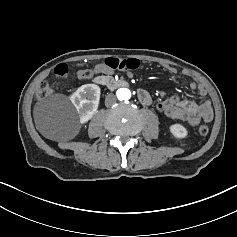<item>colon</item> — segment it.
Wrapping results in <instances>:
<instances>
[{
  "label": "colon",
  "instance_id": "5ec220e1",
  "mask_svg": "<svg viewBox=\"0 0 237 237\" xmlns=\"http://www.w3.org/2000/svg\"><path fill=\"white\" fill-rule=\"evenodd\" d=\"M104 63L113 70L122 72L134 71L140 67V61L135 58L118 59V58H107ZM56 75L58 77H68L71 75L70 69L62 65L57 68ZM52 93V89L48 83H42L37 90V98L44 99ZM209 128L207 125H200L198 132L200 135L205 136L208 134Z\"/></svg>",
  "mask_w": 237,
  "mask_h": 237
}]
</instances>
